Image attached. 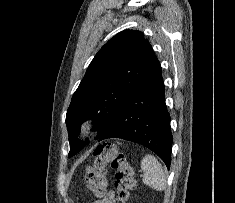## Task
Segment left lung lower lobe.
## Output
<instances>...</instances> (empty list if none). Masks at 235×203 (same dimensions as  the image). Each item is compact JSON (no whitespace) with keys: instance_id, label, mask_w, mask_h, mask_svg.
<instances>
[{"instance_id":"obj_1","label":"left lung lower lobe","mask_w":235,"mask_h":203,"mask_svg":"<svg viewBox=\"0 0 235 203\" xmlns=\"http://www.w3.org/2000/svg\"><path fill=\"white\" fill-rule=\"evenodd\" d=\"M80 132L77 133V136ZM121 138L155 152L170 168L172 134L164 96L161 65L153 61L117 116L96 139ZM89 141L80 144L83 148Z\"/></svg>"}]
</instances>
